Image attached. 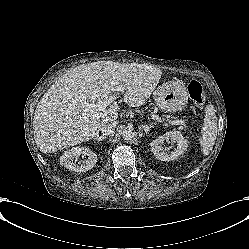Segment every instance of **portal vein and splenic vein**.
<instances>
[{
  "mask_svg": "<svg viewBox=\"0 0 249 249\" xmlns=\"http://www.w3.org/2000/svg\"><path fill=\"white\" fill-rule=\"evenodd\" d=\"M86 107H87L86 111H89L90 109H97V108H99V105H96V104H86ZM152 118L154 120H157L158 122H160L162 120L159 116H155V115H153ZM168 123L172 124V125H182L184 123V121L183 120H169Z\"/></svg>",
  "mask_w": 249,
  "mask_h": 249,
  "instance_id": "portal-vein-and-splenic-vein-1",
  "label": "portal vein and splenic vein"
}]
</instances>
